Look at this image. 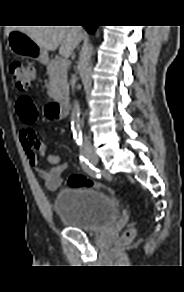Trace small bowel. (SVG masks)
<instances>
[{
    "label": "small bowel",
    "instance_id": "small-bowel-1",
    "mask_svg": "<svg viewBox=\"0 0 184 292\" xmlns=\"http://www.w3.org/2000/svg\"><path fill=\"white\" fill-rule=\"evenodd\" d=\"M19 141L27 157L28 163L35 173L43 180L50 190L59 188L63 183V174L68 165L63 162L61 156L49 154L47 160L52 166L43 168L40 165V157L45 153L46 145L40 141L31 126L22 125L19 132Z\"/></svg>",
    "mask_w": 184,
    "mask_h": 292
}]
</instances>
